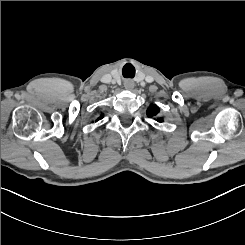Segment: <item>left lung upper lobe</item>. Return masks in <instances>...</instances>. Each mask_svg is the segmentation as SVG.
<instances>
[{"label":"left lung upper lobe","mask_w":245,"mask_h":245,"mask_svg":"<svg viewBox=\"0 0 245 245\" xmlns=\"http://www.w3.org/2000/svg\"><path fill=\"white\" fill-rule=\"evenodd\" d=\"M160 109L156 106V105H151L148 109H147V116L152 118L158 115ZM159 122H162L163 119L162 118H158L157 119Z\"/></svg>","instance_id":"left-lung-upper-lobe-1"}]
</instances>
